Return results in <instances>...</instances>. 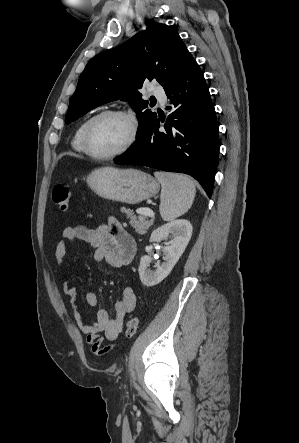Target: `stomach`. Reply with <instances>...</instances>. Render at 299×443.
Returning a JSON list of instances; mask_svg holds the SVG:
<instances>
[{"label":"stomach","instance_id":"stomach-1","mask_svg":"<svg viewBox=\"0 0 299 443\" xmlns=\"http://www.w3.org/2000/svg\"><path fill=\"white\" fill-rule=\"evenodd\" d=\"M87 183L100 197L128 204L149 199L160 188L152 176L132 168L102 167L87 176Z\"/></svg>","mask_w":299,"mask_h":443}]
</instances>
